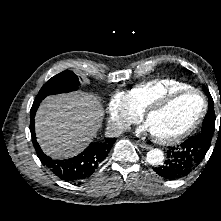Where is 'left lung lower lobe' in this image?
Listing matches in <instances>:
<instances>
[{
    "instance_id": "left-lung-lower-lobe-1",
    "label": "left lung lower lobe",
    "mask_w": 221,
    "mask_h": 221,
    "mask_svg": "<svg viewBox=\"0 0 221 221\" xmlns=\"http://www.w3.org/2000/svg\"><path fill=\"white\" fill-rule=\"evenodd\" d=\"M209 147L208 141L199 138V134L192 136L179 146L171 147L166 153L164 163L154 170L168 180L183 178L202 162Z\"/></svg>"
}]
</instances>
